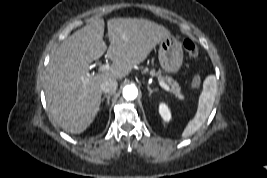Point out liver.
Returning <instances> with one entry per match:
<instances>
[{"label":"liver","instance_id":"obj_1","mask_svg":"<svg viewBox=\"0 0 267 178\" xmlns=\"http://www.w3.org/2000/svg\"><path fill=\"white\" fill-rule=\"evenodd\" d=\"M105 22L94 18L69 36L52 54L44 91L53 121L66 132L80 134L95 119L101 101V84L122 79L142 63L170 32L146 19L114 18L107 21L110 46L103 40ZM107 50L108 71L89 74V65Z\"/></svg>","mask_w":267,"mask_h":178}]
</instances>
